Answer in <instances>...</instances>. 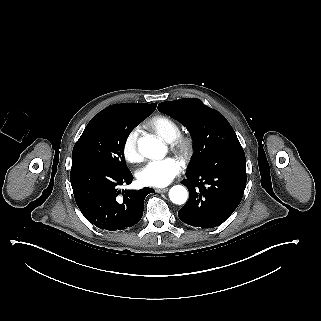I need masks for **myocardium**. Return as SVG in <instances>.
Segmentation results:
<instances>
[{"label": "myocardium", "instance_id": "1", "mask_svg": "<svg viewBox=\"0 0 321 321\" xmlns=\"http://www.w3.org/2000/svg\"><path fill=\"white\" fill-rule=\"evenodd\" d=\"M185 161L189 160L193 154V139L190 135H178L169 142Z\"/></svg>", "mask_w": 321, "mask_h": 321}]
</instances>
